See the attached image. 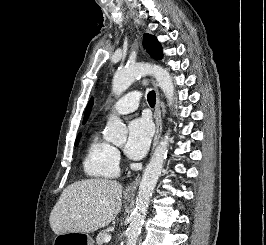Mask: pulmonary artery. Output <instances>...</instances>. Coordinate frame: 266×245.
<instances>
[{
	"mask_svg": "<svg viewBox=\"0 0 266 245\" xmlns=\"http://www.w3.org/2000/svg\"><path fill=\"white\" fill-rule=\"evenodd\" d=\"M139 95V91H133L131 94L124 96L123 100H114V105L110 108V111L106 113V116L112 113L126 114L135 111L139 105Z\"/></svg>",
	"mask_w": 266,
	"mask_h": 245,
	"instance_id": "1",
	"label": "pulmonary artery"
}]
</instances>
